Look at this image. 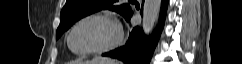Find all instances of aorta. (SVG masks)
<instances>
[{
	"instance_id": "aorta-1",
	"label": "aorta",
	"mask_w": 242,
	"mask_h": 64,
	"mask_svg": "<svg viewBox=\"0 0 242 64\" xmlns=\"http://www.w3.org/2000/svg\"><path fill=\"white\" fill-rule=\"evenodd\" d=\"M161 0H145L143 7L142 28L145 35H149L154 27L160 11Z\"/></svg>"
}]
</instances>
